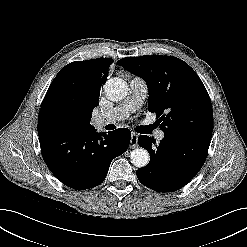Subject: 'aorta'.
I'll return each mask as SVG.
<instances>
[{
	"label": "aorta",
	"instance_id": "1",
	"mask_svg": "<svg viewBox=\"0 0 247 247\" xmlns=\"http://www.w3.org/2000/svg\"><path fill=\"white\" fill-rule=\"evenodd\" d=\"M106 97L111 101H120L124 99L128 92L127 83L121 78H110L104 85ZM131 163L138 167H145L150 160L149 153L144 148H137L131 152Z\"/></svg>",
	"mask_w": 247,
	"mask_h": 247
}]
</instances>
